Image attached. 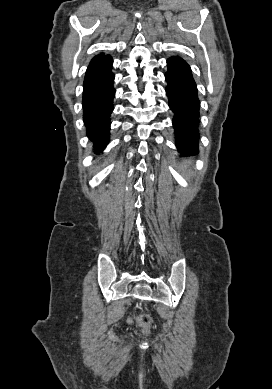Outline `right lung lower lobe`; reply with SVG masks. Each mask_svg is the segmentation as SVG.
<instances>
[{
  "mask_svg": "<svg viewBox=\"0 0 272 389\" xmlns=\"http://www.w3.org/2000/svg\"><path fill=\"white\" fill-rule=\"evenodd\" d=\"M112 63L109 55L91 62L83 83V118L87 136L94 142L95 153H99L98 148L104 149L109 142L110 115L115 96Z\"/></svg>",
  "mask_w": 272,
  "mask_h": 389,
  "instance_id": "1",
  "label": "right lung lower lobe"
}]
</instances>
